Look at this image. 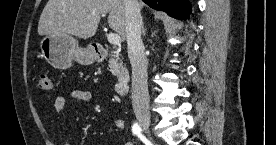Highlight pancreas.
<instances>
[{
	"label": "pancreas",
	"mask_w": 276,
	"mask_h": 145,
	"mask_svg": "<svg viewBox=\"0 0 276 145\" xmlns=\"http://www.w3.org/2000/svg\"><path fill=\"white\" fill-rule=\"evenodd\" d=\"M112 53H114L112 55L114 58L110 59L108 63H109V68H110L111 73L116 75L119 70V65H118L119 54L116 52H112ZM115 58H117V59H115Z\"/></svg>",
	"instance_id": "obj_1"
}]
</instances>
